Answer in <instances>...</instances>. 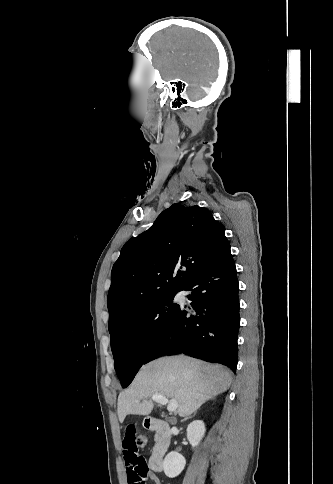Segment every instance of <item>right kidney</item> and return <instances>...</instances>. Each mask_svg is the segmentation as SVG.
<instances>
[{
    "mask_svg": "<svg viewBox=\"0 0 333 484\" xmlns=\"http://www.w3.org/2000/svg\"><path fill=\"white\" fill-rule=\"evenodd\" d=\"M205 430V425L201 420H195L188 425L187 439L192 447H196L200 443L204 437ZM185 464V458L181 454L172 451L166 455L163 461L164 473L167 477L174 478L183 471Z\"/></svg>",
    "mask_w": 333,
    "mask_h": 484,
    "instance_id": "ca27d5eb",
    "label": "right kidney"
}]
</instances>
